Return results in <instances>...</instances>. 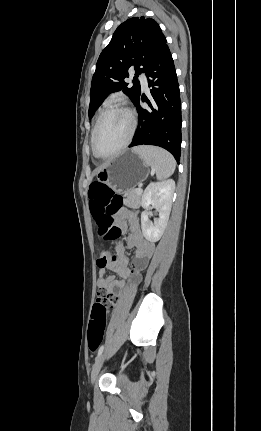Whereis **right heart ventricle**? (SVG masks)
Instances as JSON below:
<instances>
[{
  "instance_id": "1",
  "label": "right heart ventricle",
  "mask_w": 261,
  "mask_h": 431,
  "mask_svg": "<svg viewBox=\"0 0 261 431\" xmlns=\"http://www.w3.org/2000/svg\"><path fill=\"white\" fill-rule=\"evenodd\" d=\"M93 130H94V128H93ZM93 130H92V132H91V141H92V134H93Z\"/></svg>"
}]
</instances>
